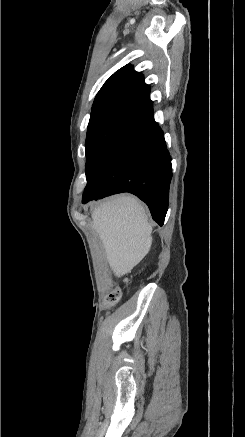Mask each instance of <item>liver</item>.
<instances>
[{"instance_id": "1", "label": "liver", "mask_w": 245, "mask_h": 437, "mask_svg": "<svg viewBox=\"0 0 245 437\" xmlns=\"http://www.w3.org/2000/svg\"><path fill=\"white\" fill-rule=\"evenodd\" d=\"M110 268L116 277L131 271L149 252L152 227L142 204L132 196H118L92 212Z\"/></svg>"}]
</instances>
